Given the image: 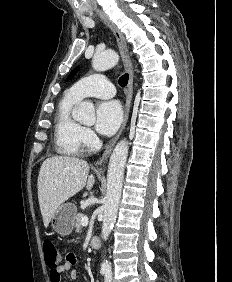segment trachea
Returning <instances> with one entry per match:
<instances>
[{"instance_id": "3493384b", "label": "trachea", "mask_w": 232, "mask_h": 282, "mask_svg": "<svg viewBox=\"0 0 232 282\" xmlns=\"http://www.w3.org/2000/svg\"><path fill=\"white\" fill-rule=\"evenodd\" d=\"M128 78H129V76H128L127 73L124 74V75H122V76L119 78V85H120L121 87H125V86L127 85V83H128Z\"/></svg>"}]
</instances>
